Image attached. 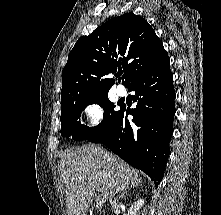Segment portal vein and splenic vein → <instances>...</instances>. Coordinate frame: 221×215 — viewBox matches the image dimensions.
Wrapping results in <instances>:
<instances>
[{
  "label": "portal vein and splenic vein",
  "instance_id": "18ae733b",
  "mask_svg": "<svg viewBox=\"0 0 221 215\" xmlns=\"http://www.w3.org/2000/svg\"><path fill=\"white\" fill-rule=\"evenodd\" d=\"M97 205H102L104 203V199L101 196H98L96 199Z\"/></svg>",
  "mask_w": 221,
  "mask_h": 215
}]
</instances>
